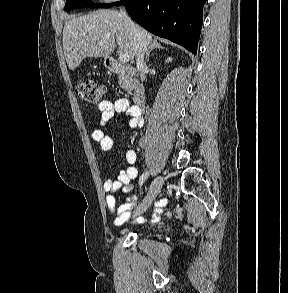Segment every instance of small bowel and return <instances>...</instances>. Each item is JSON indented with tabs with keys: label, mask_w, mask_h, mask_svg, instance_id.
<instances>
[{
	"label": "small bowel",
	"mask_w": 288,
	"mask_h": 293,
	"mask_svg": "<svg viewBox=\"0 0 288 293\" xmlns=\"http://www.w3.org/2000/svg\"><path fill=\"white\" fill-rule=\"evenodd\" d=\"M97 109L100 111V118L98 127L91 133V138L98 144L102 152H108L113 147V138L104 132V127L116 114L125 113L129 116V126L132 129L140 128L143 125L141 110L134 105H130L129 101L125 98H119L115 101H101L97 104ZM136 160V151L132 149L128 150L125 154L126 167L118 170L114 178L107 179L103 183V190L106 193V205L110 212L116 214V218L113 222L115 226H119L126 222L131 217L137 204V196L131 195L126 199L124 204L117 207L116 199L113 195L117 191L127 193L131 190V182L137 177ZM164 204L165 201H161L157 205L152 219L153 222L159 220V214ZM137 221L143 222V218H139Z\"/></svg>",
	"instance_id": "small-bowel-1"
}]
</instances>
